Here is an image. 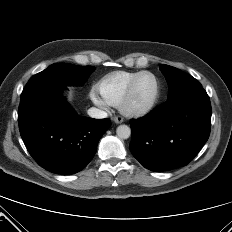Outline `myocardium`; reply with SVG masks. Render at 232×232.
Masks as SVG:
<instances>
[{
  "label": "myocardium",
  "instance_id": "f54148a6",
  "mask_svg": "<svg viewBox=\"0 0 232 232\" xmlns=\"http://www.w3.org/2000/svg\"><path fill=\"white\" fill-rule=\"evenodd\" d=\"M144 75L151 76L153 78V80L155 81L156 90H155L154 96L146 105L141 106V107H133V106H131L130 103H131L134 89H135L136 84L139 81V79ZM160 90H161L160 82H159V79L157 78V76L149 71H141L138 75L135 76V78L131 81L127 90L125 91V93H124V95H123V97L118 105L120 112L128 117H140V116H143V115L149 113L154 108V106L156 105V103L160 97Z\"/></svg>",
  "mask_w": 232,
  "mask_h": 232
}]
</instances>
